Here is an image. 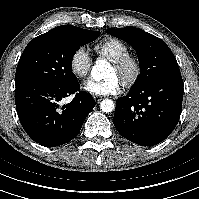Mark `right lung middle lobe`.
Returning <instances> with one entry per match:
<instances>
[{
    "instance_id": "obj_1",
    "label": "right lung middle lobe",
    "mask_w": 199,
    "mask_h": 199,
    "mask_svg": "<svg viewBox=\"0 0 199 199\" xmlns=\"http://www.w3.org/2000/svg\"><path fill=\"white\" fill-rule=\"evenodd\" d=\"M100 35L75 26L53 28L34 38L22 53L15 76V85L47 83L53 86L77 81L72 73V58L76 51Z\"/></svg>"
}]
</instances>
